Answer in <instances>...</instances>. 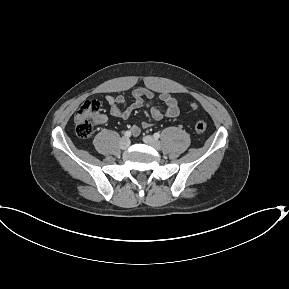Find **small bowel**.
Listing matches in <instances>:
<instances>
[{"label":"small bowel","mask_w":289,"mask_h":289,"mask_svg":"<svg viewBox=\"0 0 289 289\" xmlns=\"http://www.w3.org/2000/svg\"><path fill=\"white\" fill-rule=\"evenodd\" d=\"M133 100L128 102L123 95L115 97L107 95L105 101L110 107L112 116L122 119H127L133 111L142 108H151V117L155 121L161 120L163 117L173 118L179 113L177 100L169 93H162L158 96L157 100L165 105V110L162 111L156 104L155 94L148 89L138 88L132 93ZM105 117L100 118V122H104ZM152 124L150 122H142L141 125H133L131 131L133 135L137 136L141 132V128H148Z\"/></svg>","instance_id":"c3829d8e"}]
</instances>
